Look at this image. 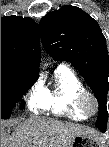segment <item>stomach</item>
<instances>
[{
  "instance_id": "1",
  "label": "stomach",
  "mask_w": 109,
  "mask_h": 147,
  "mask_svg": "<svg viewBox=\"0 0 109 147\" xmlns=\"http://www.w3.org/2000/svg\"><path fill=\"white\" fill-rule=\"evenodd\" d=\"M104 147L99 139H95L89 136H75L73 139V145L71 147Z\"/></svg>"
}]
</instances>
